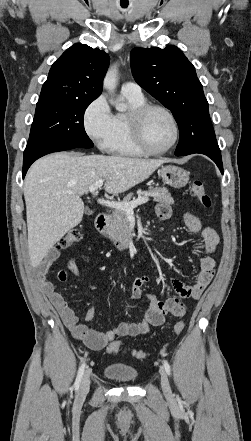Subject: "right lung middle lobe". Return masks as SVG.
<instances>
[{
	"mask_svg": "<svg viewBox=\"0 0 251 441\" xmlns=\"http://www.w3.org/2000/svg\"><path fill=\"white\" fill-rule=\"evenodd\" d=\"M95 99L38 102L29 140L92 148L93 142L85 132L83 117L86 108Z\"/></svg>",
	"mask_w": 251,
	"mask_h": 441,
	"instance_id": "obj_1",
	"label": "right lung middle lobe"
}]
</instances>
